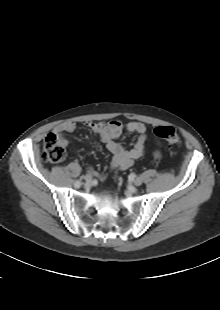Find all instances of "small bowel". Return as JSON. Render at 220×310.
<instances>
[{
  "label": "small bowel",
  "mask_w": 220,
  "mask_h": 310,
  "mask_svg": "<svg viewBox=\"0 0 220 310\" xmlns=\"http://www.w3.org/2000/svg\"><path fill=\"white\" fill-rule=\"evenodd\" d=\"M87 127L93 134L99 135L105 139L107 148L113 155L110 164L111 171L126 170L132 167L135 161L141 158L145 153V143L148 135L145 124L141 122L132 121L126 124L117 120L109 122H89L87 123ZM75 129V122L65 121L57 125L54 132L61 138L64 146H66L67 140L65 139L64 134L71 133ZM124 131L137 135V139L130 149H126L123 145L116 142V139L119 138ZM160 156L161 152L157 149L154 152V157L159 158ZM87 172L91 176L92 174H95L100 179L105 178L104 173H96L91 168H89Z\"/></svg>",
  "instance_id": "obj_1"
}]
</instances>
